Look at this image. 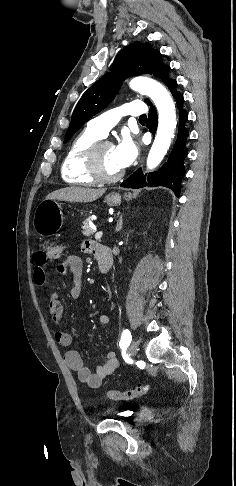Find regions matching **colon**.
<instances>
[{
  "mask_svg": "<svg viewBox=\"0 0 236 486\" xmlns=\"http://www.w3.org/2000/svg\"><path fill=\"white\" fill-rule=\"evenodd\" d=\"M43 259L48 261L58 260L62 257L64 253V246L55 241H47L44 244V249L41 252ZM151 391V386L148 384L138 385L132 387L126 391H116L109 390L107 392V397L112 400H132L141 396L148 394Z\"/></svg>",
  "mask_w": 236,
  "mask_h": 486,
  "instance_id": "1",
  "label": "colon"
}]
</instances>
